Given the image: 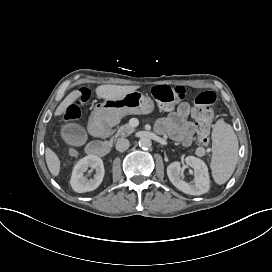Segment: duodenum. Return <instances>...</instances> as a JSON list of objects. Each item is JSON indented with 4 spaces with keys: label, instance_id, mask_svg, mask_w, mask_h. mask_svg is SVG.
<instances>
[{
    "label": "duodenum",
    "instance_id": "obj_1",
    "mask_svg": "<svg viewBox=\"0 0 272 272\" xmlns=\"http://www.w3.org/2000/svg\"><path fill=\"white\" fill-rule=\"evenodd\" d=\"M89 129L93 136L97 138H104L108 135V120L106 109L104 107H98L94 111L91 118ZM110 144L105 141H92L87 146V153L91 156L105 157L110 151Z\"/></svg>",
    "mask_w": 272,
    "mask_h": 272
}]
</instances>
